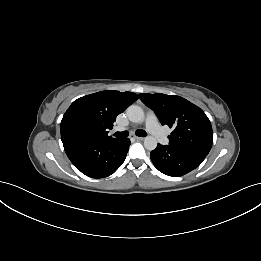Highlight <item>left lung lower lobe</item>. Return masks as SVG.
<instances>
[{
    "label": "left lung lower lobe",
    "instance_id": "0a47b994",
    "mask_svg": "<svg viewBox=\"0 0 261 261\" xmlns=\"http://www.w3.org/2000/svg\"><path fill=\"white\" fill-rule=\"evenodd\" d=\"M206 155L183 148L158 144L150 153L154 166L163 174L177 177L197 168Z\"/></svg>",
    "mask_w": 261,
    "mask_h": 261
}]
</instances>
